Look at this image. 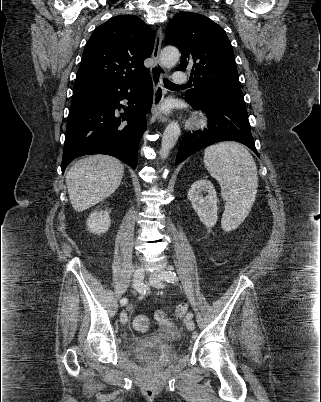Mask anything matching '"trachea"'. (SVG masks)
<instances>
[{
    "instance_id": "3493384b",
    "label": "trachea",
    "mask_w": 321,
    "mask_h": 402,
    "mask_svg": "<svg viewBox=\"0 0 321 402\" xmlns=\"http://www.w3.org/2000/svg\"><path fill=\"white\" fill-rule=\"evenodd\" d=\"M163 83H164V85H165L167 88H171V87H180V86L188 85V84L177 85V84L171 82L170 80H168V79H166V78L163 79Z\"/></svg>"
}]
</instances>
